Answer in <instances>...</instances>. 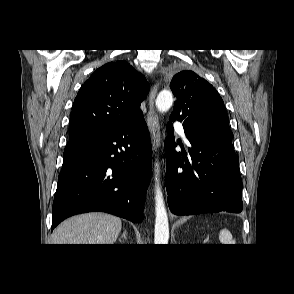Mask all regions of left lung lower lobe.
Segmentation results:
<instances>
[{
	"label": "left lung lower lobe",
	"mask_w": 294,
	"mask_h": 294,
	"mask_svg": "<svg viewBox=\"0 0 294 294\" xmlns=\"http://www.w3.org/2000/svg\"><path fill=\"white\" fill-rule=\"evenodd\" d=\"M167 131L166 189L171 212L176 215L241 212L242 180L232 139L186 134L191 144L187 155L175 152L171 122Z\"/></svg>",
	"instance_id": "obj_1"
}]
</instances>
